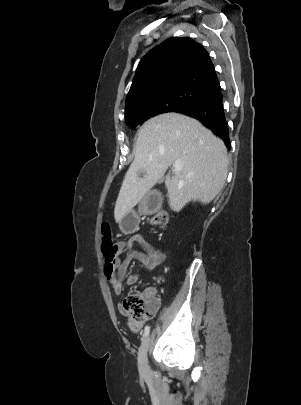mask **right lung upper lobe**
Listing matches in <instances>:
<instances>
[{"instance_id":"obj_1","label":"right lung upper lobe","mask_w":301,"mask_h":405,"mask_svg":"<svg viewBox=\"0 0 301 405\" xmlns=\"http://www.w3.org/2000/svg\"><path fill=\"white\" fill-rule=\"evenodd\" d=\"M178 87L211 95L221 89L208 52L188 37L169 38L141 59L126 99L125 112L147 96Z\"/></svg>"}]
</instances>
